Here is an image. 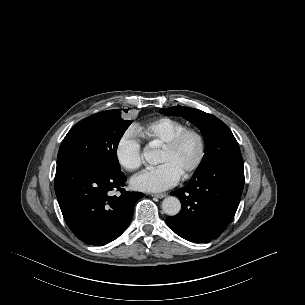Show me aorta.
<instances>
[{
	"label": "aorta",
	"instance_id": "1",
	"mask_svg": "<svg viewBox=\"0 0 305 305\" xmlns=\"http://www.w3.org/2000/svg\"><path fill=\"white\" fill-rule=\"evenodd\" d=\"M144 159L150 164H158L160 162V151L154 148L144 151ZM162 209L169 216L177 215L181 209L180 200L177 197L169 196L162 202Z\"/></svg>",
	"mask_w": 305,
	"mask_h": 305
}]
</instances>
